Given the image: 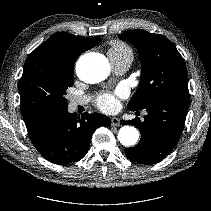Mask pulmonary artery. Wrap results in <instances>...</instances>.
I'll return each instance as SVG.
<instances>
[{"label":"pulmonary artery","mask_w":211,"mask_h":211,"mask_svg":"<svg viewBox=\"0 0 211 211\" xmlns=\"http://www.w3.org/2000/svg\"><path fill=\"white\" fill-rule=\"evenodd\" d=\"M111 65L115 73L122 74L128 70L131 65L132 60L129 58H113L109 56ZM88 96L73 97L70 99V106L72 108L80 104H85L88 101Z\"/></svg>","instance_id":"e3ab8cb5"}]
</instances>
